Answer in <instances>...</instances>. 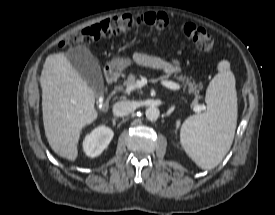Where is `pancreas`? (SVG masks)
Returning <instances> with one entry per match:
<instances>
[{
  "instance_id": "obj_1",
  "label": "pancreas",
  "mask_w": 275,
  "mask_h": 215,
  "mask_svg": "<svg viewBox=\"0 0 275 215\" xmlns=\"http://www.w3.org/2000/svg\"><path fill=\"white\" fill-rule=\"evenodd\" d=\"M176 80L181 82L185 89L191 94L195 95V99L192 101L191 106L194 107L198 104V100L201 98L199 95V92L202 88V84H196L194 81L191 80V78L179 75L176 77ZM136 83V76L134 74H130L127 79L123 82V86L130 87L133 86Z\"/></svg>"
}]
</instances>
